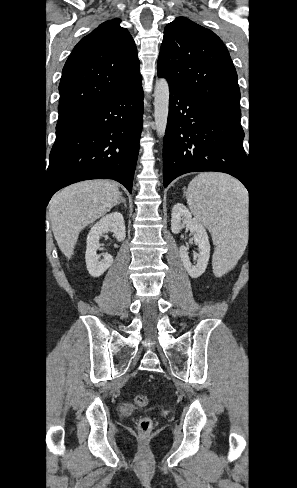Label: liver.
Returning a JSON list of instances; mask_svg holds the SVG:
<instances>
[{
	"label": "liver",
	"instance_id": "1",
	"mask_svg": "<svg viewBox=\"0 0 297 488\" xmlns=\"http://www.w3.org/2000/svg\"><path fill=\"white\" fill-rule=\"evenodd\" d=\"M120 197L117 185L106 180L79 182L52 197L48 217L57 244L68 259L81 230L109 212Z\"/></svg>",
	"mask_w": 297,
	"mask_h": 488
}]
</instances>
